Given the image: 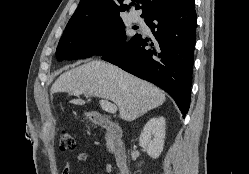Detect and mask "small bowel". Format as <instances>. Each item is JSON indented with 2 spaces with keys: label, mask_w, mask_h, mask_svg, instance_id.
Instances as JSON below:
<instances>
[{
  "label": "small bowel",
  "mask_w": 249,
  "mask_h": 174,
  "mask_svg": "<svg viewBox=\"0 0 249 174\" xmlns=\"http://www.w3.org/2000/svg\"><path fill=\"white\" fill-rule=\"evenodd\" d=\"M87 159V154L86 153H79L76 156V162L80 163V162H84ZM105 165V169L107 173L111 172V165L107 162L104 163ZM72 172V166L71 163L69 161H67L62 169V174H71Z\"/></svg>",
  "instance_id": "c3829d8e"
}]
</instances>
